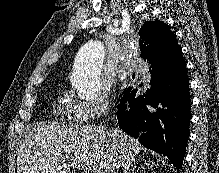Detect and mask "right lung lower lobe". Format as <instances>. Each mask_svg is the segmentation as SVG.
Instances as JSON below:
<instances>
[{
    "label": "right lung lower lobe",
    "mask_w": 219,
    "mask_h": 173,
    "mask_svg": "<svg viewBox=\"0 0 219 173\" xmlns=\"http://www.w3.org/2000/svg\"><path fill=\"white\" fill-rule=\"evenodd\" d=\"M161 57L157 53L145 60L151 64L149 85L125 89L116 116L123 131L166 156L179 170L189 135V80L183 57Z\"/></svg>",
    "instance_id": "1"
}]
</instances>
